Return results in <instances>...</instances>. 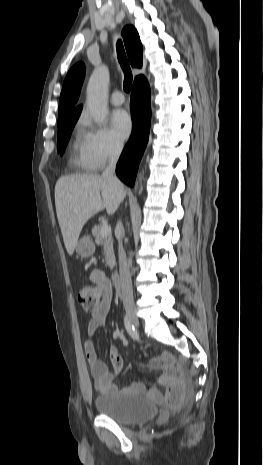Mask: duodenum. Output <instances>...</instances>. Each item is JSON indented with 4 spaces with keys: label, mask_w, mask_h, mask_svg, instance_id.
Here are the masks:
<instances>
[{
    "label": "duodenum",
    "mask_w": 263,
    "mask_h": 465,
    "mask_svg": "<svg viewBox=\"0 0 263 465\" xmlns=\"http://www.w3.org/2000/svg\"><path fill=\"white\" fill-rule=\"evenodd\" d=\"M112 282L118 295L122 294L121 280L117 273L112 275Z\"/></svg>",
    "instance_id": "410a0bca"
}]
</instances>
